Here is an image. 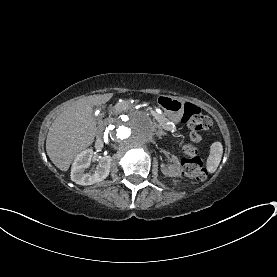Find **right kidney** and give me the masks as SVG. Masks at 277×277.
Here are the masks:
<instances>
[{"mask_svg": "<svg viewBox=\"0 0 277 277\" xmlns=\"http://www.w3.org/2000/svg\"><path fill=\"white\" fill-rule=\"evenodd\" d=\"M93 150L87 149L80 153L72 166L71 180L81 186H91L100 183L109 176L112 158L104 155L100 158L98 171L86 173V169L91 166Z\"/></svg>", "mask_w": 277, "mask_h": 277, "instance_id": "obj_1", "label": "right kidney"}]
</instances>
